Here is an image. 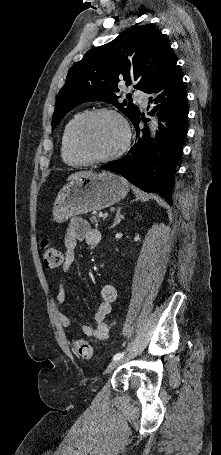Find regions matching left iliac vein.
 Here are the masks:
<instances>
[{"label": "left iliac vein", "mask_w": 221, "mask_h": 455, "mask_svg": "<svg viewBox=\"0 0 221 455\" xmlns=\"http://www.w3.org/2000/svg\"><path fill=\"white\" fill-rule=\"evenodd\" d=\"M122 362L121 359L113 360L110 362L105 370V373H110L114 368H116Z\"/></svg>", "instance_id": "left-iliac-vein-1"}]
</instances>
